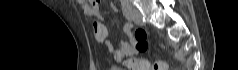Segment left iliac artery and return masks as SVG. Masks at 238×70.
<instances>
[{
    "label": "left iliac artery",
    "mask_w": 238,
    "mask_h": 70,
    "mask_svg": "<svg viewBox=\"0 0 238 70\" xmlns=\"http://www.w3.org/2000/svg\"><path fill=\"white\" fill-rule=\"evenodd\" d=\"M121 5H122V8H123V12H124L125 17L128 20H131V5H130V2L128 0H122Z\"/></svg>",
    "instance_id": "left-iliac-artery-1"
}]
</instances>
